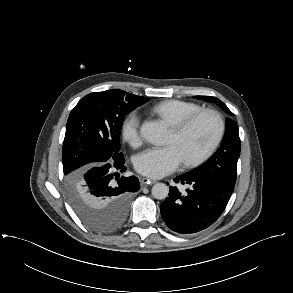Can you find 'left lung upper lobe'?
Returning a JSON list of instances; mask_svg holds the SVG:
<instances>
[{
    "mask_svg": "<svg viewBox=\"0 0 293 293\" xmlns=\"http://www.w3.org/2000/svg\"><path fill=\"white\" fill-rule=\"evenodd\" d=\"M198 99L215 102L227 114L233 115L228 107L218 98L209 96H196ZM240 156V138L238 125L230 118L226 119V132L219 150L200 168L192 173L201 176L218 178L230 185L235 186L237 161Z\"/></svg>",
    "mask_w": 293,
    "mask_h": 293,
    "instance_id": "left-lung-upper-lobe-1",
    "label": "left lung upper lobe"
}]
</instances>
